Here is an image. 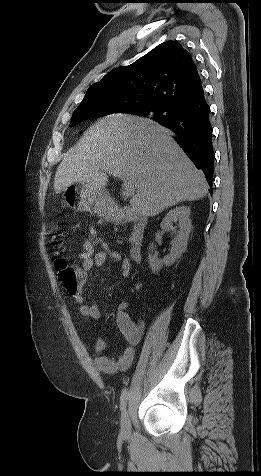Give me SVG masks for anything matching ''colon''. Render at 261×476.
Wrapping results in <instances>:
<instances>
[{"mask_svg": "<svg viewBox=\"0 0 261 476\" xmlns=\"http://www.w3.org/2000/svg\"><path fill=\"white\" fill-rule=\"evenodd\" d=\"M57 278L60 284L69 292H75L80 284V276L75 267L70 265L64 258H58L55 262Z\"/></svg>", "mask_w": 261, "mask_h": 476, "instance_id": "obj_1", "label": "colon"}]
</instances>
